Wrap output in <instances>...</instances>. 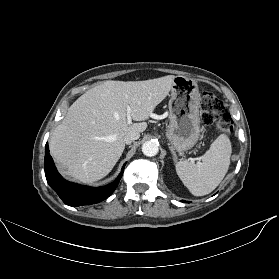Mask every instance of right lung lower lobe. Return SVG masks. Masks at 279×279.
I'll use <instances>...</instances> for the list:
<instances>
[{"label":"right lung lower lobe","mask_w":279,"mask_h":279,"mask_svg":"<svg viewBox=\"0 0 279 279\" xmlns=\"http://www.w3.org/2000/svg\"><path fill=\"white\" fill-rule=\"evenodd\" d=\"M44 169L48 184L65 204L69 206H82L95 204L108 198L116 189L122 177L124 167L114 182L103 187H88L70 183L64 180L58 173L49 154L48 144H46Z\"/></svg>","instance_id":"right-lung-lower-lobe-1"}]
</instances>
